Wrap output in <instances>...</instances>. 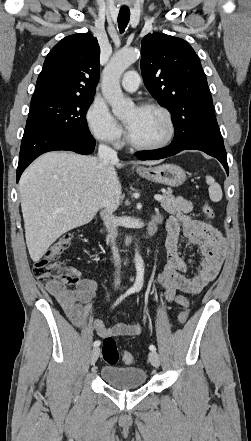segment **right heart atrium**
I'll use <instances>...</instances> for the list:
<instances>
[{
    "mask_svg": "<svg viewBox=\"0 0 251 441\" xmlns=\"http://www.w3.org/2000/svg\"><path fill=\"white\" fill-rule=\"evenodd\" d=\"M86 120L91 134L97 140L112 144L120 141L123 130L100 99L93 100L87 110Z\"/></svg>",
    "mask_w": 251,
    "mask_h": 441,
    "instance_id": "right-heart-atrium-1",
    "label": "right heart atrium"
}]
</instances>
